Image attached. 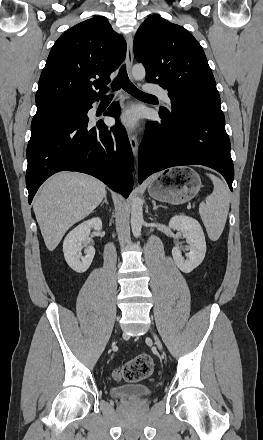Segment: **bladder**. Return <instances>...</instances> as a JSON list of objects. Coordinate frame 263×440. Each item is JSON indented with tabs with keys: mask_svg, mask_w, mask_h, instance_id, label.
<instances>
[{
	"mask_svg": "<svg viewBox=\"0 0 263 440\" xmlns=\"http://www.w3.org/2000/svg\"><path fill=\"white\" fill-rule=\"evenodd\" d=\"M109 394L115 400L148 399L151 397V391L149 389L138 385L111 387L109 389Z\"/></svg>",
	"mask_w": 263,
	"mask_h": 440,
	"instance_id": "1",
	"label": "bladder"
}]
</instances>
